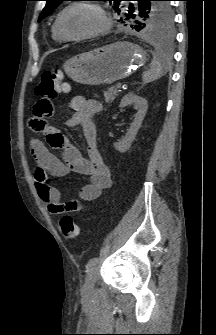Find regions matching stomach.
I'll list each match as a JSON object with an SVG mask.
<instances>
[{
  "mask_svg": "<svg viewBox=\"0 0 216 335\" xmlns=\"http://www.w3.org/2000/svg\"><path fill=\"white\" fill-rule=\"evenodd\" d=\"M147 60L136 44L118 41L82 54L64 63L66 74L84 85L111 84L139 69Z\"/></svg>",
  "mask_w": 216,
  "mask_h": 335,
  "instance_id": "0dacf381",
  "label": "stomach"
}]
</instances>
